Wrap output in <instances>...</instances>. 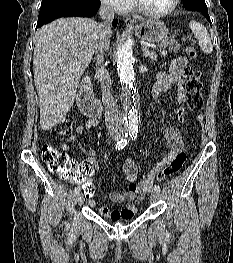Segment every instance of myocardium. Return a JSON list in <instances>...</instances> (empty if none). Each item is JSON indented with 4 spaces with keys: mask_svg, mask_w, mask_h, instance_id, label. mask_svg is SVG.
I'll use <instances>...</instances> for the list:
<instances>
[{
    "mask_svg": "<svg viewBox=\"0 0 233 263\" xmlns=\"http://www.w3.org/2000/svg\"><path fill=\"white\" fill-rule=\"evenodd\" d=\"M179 2H180V0H173L172 4L167 9L160 11V12H152V11H149V10L145 9L144 7H142L139 4L138 0H132L133 8L135 9V11H137L138 13H140L143 16L150 17V18H162V17H165V16L171 14L172 12H174L176 10V8L179 5Z\"/></svg>",
    "mask_w": 233,
    "mask_h": 263,
    "instance_id": "myocardium-1",
    "label": "myocardium"
}]
</instances>
